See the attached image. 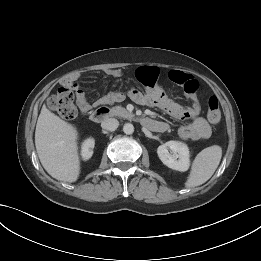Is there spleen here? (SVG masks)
I'll return each mask as SVG.
<instances>
[{"label":"spleen","instance_id":"3e777b00","mask_svg":"<svg viewBox=\"0 0 261 261\" xmlns=\"http://www.w3.org/2000/svg\"><path fill=\"white\" fill-rule=\"evenodd\" d=\"M221 157L222 148L218 145L207 147L199 152L192 163L185 187L193 188L209 180L217 169Z\"/></svg>","mask_w":261,"mask_h":261}]
</instances>
